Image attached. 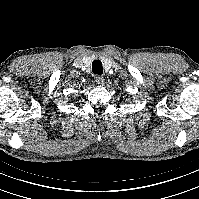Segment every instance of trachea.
Masks as SVG:
<instances>
[{"label": "trachea", "instance_id": "trachea-1", "mask_svg": "<svg viewBox=\"0 0 199 199\" xmlns=\"http://www.w3.org/2000/svg\"><path fill=\"white\" fill-rule=\"evenodd\" d=\"M92 71L94 74L101 75L103 73L102 62L100 60H94L92 63Z\"/></svg>", "mask_w": 199, "mask_h": 199}]
</instances>
